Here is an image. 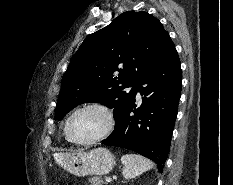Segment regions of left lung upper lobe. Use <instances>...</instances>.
<instances>
[{"label":"left lung upper lobe","instance_id":"obj_1","mask_svg":"<svg viewBox=\"0 0 233 185\" xmlns=\"http://www.w3.org/2000/svg\"><path fill=\"white\" fill-rule=\"evenodd\" d=\"M169 38L161 22L144 11L124 12L88 36L63 76L56 119L78 104L98 102L114 108L116 124L135 98L137 81Z\"/></svg>","mask_w":233,"mask_h":185}]
</instances>
